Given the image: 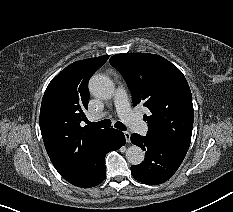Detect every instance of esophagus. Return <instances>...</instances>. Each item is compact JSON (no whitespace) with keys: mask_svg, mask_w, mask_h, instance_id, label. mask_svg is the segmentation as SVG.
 <instances>
[{"mask_svg":"<svg viewBox=\"0 0 233 212\" xmlns=\"http://www.w3.org/2000/svg\"><path fill=\"white\" fill-rule=\"evenodd\" d=\"M124 136H125L126 142L130 143L131 134L128 131H125Z\"/></svg>","mask_w":233,"mask_h":212,"instance_id":"esophagus-1","label":"esophagus"}]
</instances>
